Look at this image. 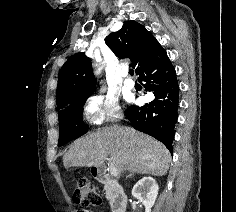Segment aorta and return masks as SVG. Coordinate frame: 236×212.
<instances>
[{
	"label": "aorta",
	"mask_w": 236,
	"mask_h": 212,
	"mask_svg": "<svg viewBox=\"0 0 236 212\" xmlns=\"http://www.w3.org/2000/svg\"><path fill=\"white\" fill-rule=\"evenodd\" d=\"M97 60L99 61V60H100V58L98 57V58H97Z\"/></svg>",
	"instance_id": "obj_1"
}]
</instances>
